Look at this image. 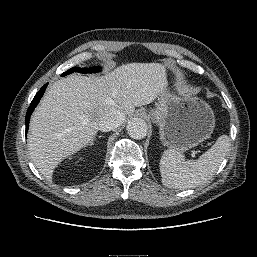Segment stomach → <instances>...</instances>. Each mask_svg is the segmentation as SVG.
Wrapping results in <instances>:
<instances>
[{
  "mask_svg": "<svg viewBox=\"0 0 257 257\" xmlns=\"http://www.w3.org/2000/svg\"><path fill=\"white\" fill-rule=\"evenodd\" d=\"M148 117L159 125L162 144L180 153L209 138L215 127L212 108L183 90L171 94L165 89Z\"/></svg>",
  "mask_w": 257,
  "mask_h": 257,
  "instance_id": "stomach-1",
  "label": "stomach"
}]
</instances>
